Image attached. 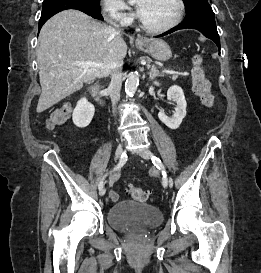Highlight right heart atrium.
I'll return each mask as SVG.
<instances>
[{
    "label": "right heart atrium",
    "mask_w": 261,
    "mask_h": 273,
    "mask_svg": "<svg viewBox=\"0 0 261 273\" xmlns=\"http://www.w3.org/2000/svg\"><path fill=\"white\" fill-rule=\"evenodd\" d=\"M102 8L107 19L120 25H128L133 18L122 0H102Z\"/></svg>",
    "instance_id": "right-heart-atrium-1"
}]
</instances>
